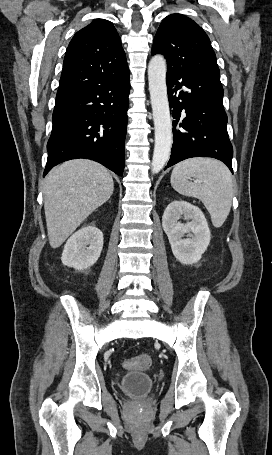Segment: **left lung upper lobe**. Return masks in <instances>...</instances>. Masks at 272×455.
<instances>
[{"label": "left lung upper lobe", "instance_id": "5c2ea615", "mask_svg": "<svg viewBox=\"0 0 272 455\" xmlns=\"http://www.w3.org/2000/svg\"><path fill=\"white\" fill-rule=\"evenodd\" d=\"M151 53L163 54L167 72L191 70L220 76L216 55L203 29L190 18L171 14L161 23Z\"/></svg>", "mask_w": 272, "mask_h": 455}]
</instances>
